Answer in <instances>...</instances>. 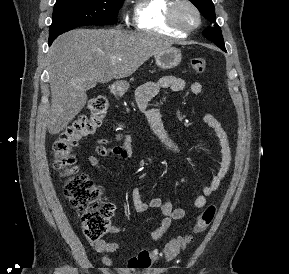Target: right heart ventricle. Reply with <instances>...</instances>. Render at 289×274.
Returning <instances> with one entry per match:
<instances>
[{"label":"right heart ventricle","instance_id":"1","mask_svg":"<svg viewBox=\"0 0 289 274\" xmlns=\"http://www.w3.org/2000/svg\"><path fill=\"white\" fill-rule=\"evenodd\" d=\"M173 0H137L133 7V23L138 31L184 37L167 23V11Z\"/></svg>","mask_w":289,"mask_h":274}]
</instances>
